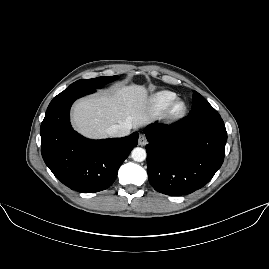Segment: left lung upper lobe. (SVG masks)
Listing matches in <instances>:
<instances>
[{
  "mask_svg": "<svg viewBox=\"0 0 269 269\" xmlns=\"http://www.w3.org/2000/svg\"><path fill=\"white\" fill-rule=\"evenodd\" d=\"M211 117H220V115L205 98L193 91L192 111L185 117L186 121H197Z\"/></svg>",
  "mask_w": 269,
  "mask_h": 269,
  "instance_id": "1",
  "label": "left lung upper lobe"
}]
</instances>
